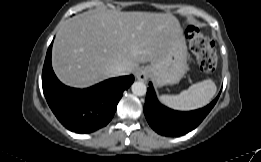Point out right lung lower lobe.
I'll use <instances>...</instances> for the list:
<instances>
[{
    "label": "right lung lower lobe",
    "mask_w": 261,
    "mask_h": 162,
    "mask_svg": "<svg viewBox=\"0 0 261 162\" xmlns=\"http://www.w3.org/2000/svg\"><path fill=\"white\" fill-rule=\"evenodd\" d=\"M52 43L43 66L42 87L52 112L61 124L76 133H91L106 126L113 118L123 92L134 76L108 79L87 89L65 86L51 66Z\"/></svg>",
    "instance_id": "1"
}]
</instances>
